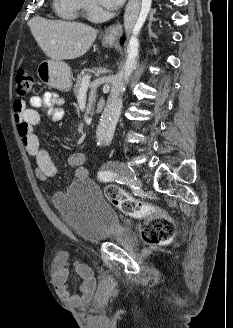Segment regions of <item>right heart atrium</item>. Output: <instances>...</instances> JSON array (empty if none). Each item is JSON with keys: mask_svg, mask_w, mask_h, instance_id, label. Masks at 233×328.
<instances>
[{"mask_svg": "<svg viewBox=\"0 0 233 328\" xmlns=\"http://www.w3.org/2000/svg\"><path fill=\"white\" fill-rule=\"evenodd\" d=\"M81 5V10H83L87 16H90L94 9L95 4L93 0H79Z\"/></svg>", "mask_w": 233, "mask_h": 328, "instance_id": "right-heart-atrium-1", "label": "right heart atrium"}]
</instances>
